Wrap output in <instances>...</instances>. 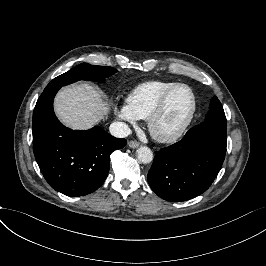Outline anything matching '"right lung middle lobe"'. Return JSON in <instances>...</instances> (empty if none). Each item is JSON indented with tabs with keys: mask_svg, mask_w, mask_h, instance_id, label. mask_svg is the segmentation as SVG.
I'll list each match as a JSON object with an SVG mask.
<instances>
[{
	"mask_svg": "<svg viewBox=\"0 0 266 266\" xmlns=\"http://www.w3.org/2000/svg\"><path fill=\"white\" fill-rule=\"evenodd\" d=\"M117 72L113 67L94 66L87 63H82L68 72L53 79L44 89H52L55 87H62L78 80H94L103 82L105 78Z\"/></svg>",
	"mask_w": 266,
	"mask_h": 266,
	"instance_id": "dd1d6c3e",
	"label": "right lung middle lobe"
}]
</instances>
